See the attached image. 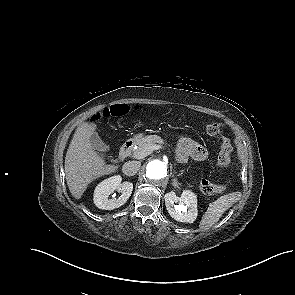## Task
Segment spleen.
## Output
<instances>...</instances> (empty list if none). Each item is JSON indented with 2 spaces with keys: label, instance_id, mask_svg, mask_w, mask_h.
Masks as SVG:
<instances>
[{
  "label": "spleen",
  "instance_id": "spleen-1",
  "mask_svg": "<svg viewBox=\"0 0 295 295\" xmlns=\"http://www.w3.org/2000/svg\"><path fill=\"white\" fill-rule=\"evenodd\" d=\"M241 197L240 192H232L227 195L219 197L212 202L200 222V229L206 230L217 223L223 213L228 210Z\"/></svg>",
  "mask_w": 295,
  "mask_h": 295
}]
</instances>
